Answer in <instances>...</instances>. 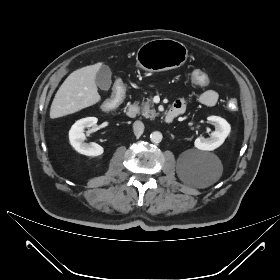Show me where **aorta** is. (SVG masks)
Wrapping results in <instances>:
<instances>
[{"label":"aorta","instance_id":"aorta-1","mask_svg":"<svg viewBox=\"0 0 280 280\" xmlns=\"http://www.w3.org/2000/svg\"><path fill=\"white\" fill-rule=\"evenodd\" d=\"M162 133L159 131H154L150 134V140L153 143H160L162 141Z\"/></svg>","mask_w":280,"mask_h":280}]
</instances>
